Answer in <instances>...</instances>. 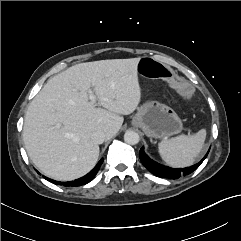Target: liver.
I'll use <instances>...</instances> for the list:
<instances>
[{
    "label": "liver",
    "instance_id": "obj_1",
    "mask_svg": "<svg viewBox=\"0 0 241 241\" xmlns=\"http://www.w3.org/2000/svg\"><path fill=\"white\" fill-rule=\"evenodd\" d=\"M140 58L74 65L50 78L28 106L23 140L29 158L44 175L70 181L97 163V130L112 138L141 101ZM95 100L89 98L92 91Z\"/></svg>",
    "mask_w": 241,
    "mask_h": 241
}]
</instances>
